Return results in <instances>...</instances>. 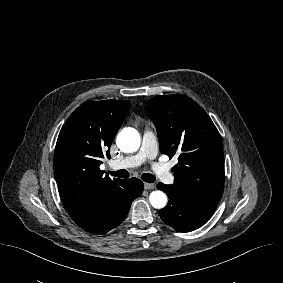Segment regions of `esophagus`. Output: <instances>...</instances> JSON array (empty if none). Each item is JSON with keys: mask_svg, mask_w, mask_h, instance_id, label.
<instances>
[{"mask_svg": "<svg viewBox=\"0 0 283 283\" xmlns=\"http://www.w3.org/2000/svg\"><path fill=\"white\" fill-rule=\"evenodd\" d=\"M144 189L145 190H153V189H155V185L150 184V183H144Z\"/></svg>", "mask_w": 283, "mask_h": 283, "instance_id": "esophagus-1", "label": "esophagus"}]
</instances>
